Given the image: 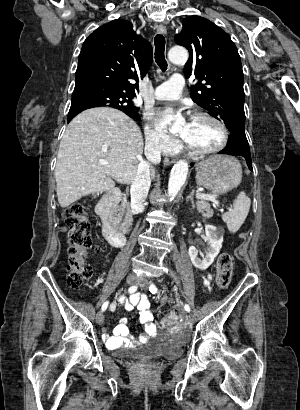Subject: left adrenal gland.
Masks as SVG:
<instances>
[{"instance_id": "1", "label": "left adrenal gland", "mask_w": 300, "mask_h": 410, "mask_svg": "<svg viewBox=\"0 0 300 410\" xmlns=\"http://www.w3.org/2000/svg\"><path fill=\"white\" fill-rule=\"evenodd\" d=\"M194 193H195V190H192L191 193L186 197V201L191 202L192 208H195V203H194V198H193Z\"/></svg>"}]
</instances>
